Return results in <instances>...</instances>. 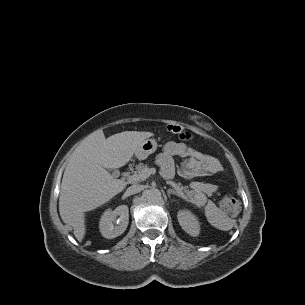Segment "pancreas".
Returning <instances> with one entry per match:
<instances>
[{
    "label": "pancreas",
    "mask_w": 305,
    "mask_h": 305,
    "mask_svg": "<svg viewBox=\"0 0 305 305\" xmlns=\"http://www.w3.org/2000/svg\"><path fill=\"white\" fill-rule=\"evenodd\" d=\"M148 168L147 165H144L143 163H139L135 167V171H133V175L139 174L142 170ZM133 182H138L136 180H131ZM176 191L188 202L195 204L196 206H204L207 202V197L204 194L205 191L208 190V186L199 183V182H193L190 187L191 190L188 188V186H182L181 183L175 184L174 182H169Z\"/></svg>",
    "instance_id": "cf45deb5"
}]
</instances>
